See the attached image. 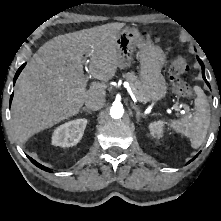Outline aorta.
<instances>
[{"mask_svg":"<svg viewBox=\"0 0 221 221\" xmlns=\"http://www.w3.org/2000/svg\"><path fill=\"white\" fill-rule=\"evenodd\" d=\"M124 114V109L121 104H113L110 108V116L113 119H120Z\"/></svg>","mask_w":221,"mask_h":221,"instance_id":"obj_1","label":"aorta"}]
</instances>
